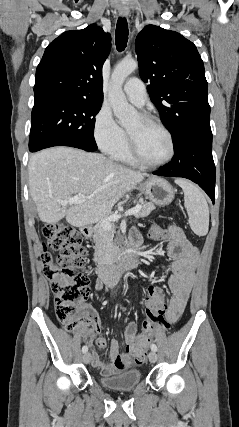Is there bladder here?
Returning a JSON list of instances; mask_svg holds the SVG:
<instances>
[{"label": "bladder", "instance_id": "1", "mask_svg": "<svg viewBox=\"0 0 239 427\" xmlns=\"http://www.w3.org/2000/svg\"><path fill=\"white\" fill-rule=\"evenodd\" d=\"M141 381V372L138 369H128L116 375L100 377V382L106 388L112 390H129L134 388Z\"/></svg>", "mask_w": 239, "mask_h": 427}]
</instances>
